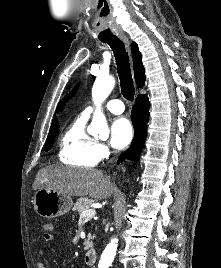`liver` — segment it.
<instances>
[{"mask_svg":"<svg viewBox=\"0 0 221 268\" xmlns=\"http://www.w3.org/2000/svg\"><path fill=\"white\" fill-rule=\"evenodd\" d=\"M49 189L69 196L107 199L117 192L108 175L98 169L66 166H47L40 169L33 183V190Z\"/></svg>","mask_w":221,"mask_h":268,"instance_id":"liver-1","label":"liver"}]
</instances>
